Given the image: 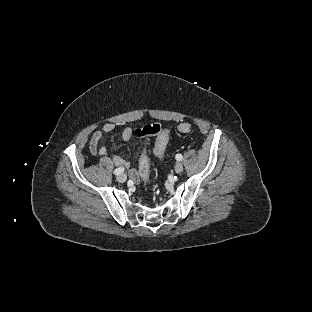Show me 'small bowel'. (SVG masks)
<instances>
[{
	"instance_id": "1",
	"label": "small bowel",
	"mask_w": 312,
	"mask_h": 312,
	"mask_svg": "<svg viewBox=\"0 0 312 312\" xmlns=\"http://www.w3.org/2000/svg\"><path fill=\"white\" fill-rule=\"evenodd\" d=\"M115 127V123L107 122L103 125L101 129H98L92 133L89 139V150L92 154H98L102 157H106L108 155V149L104 145H100V141L104 135L114 131ZM167 129L168 128L166 127L162 129L160 128V131L158 133H161L162 131ZM135 132L136 130H134L132 127L126 126L121 131L120 137L123 141H128L133 137ZM111 158L116 166L124 167L127 170L130 178L134 182H139L138 172L131 166L129 160L118 155H112Z\"/></svg>"
}]
</instances>
